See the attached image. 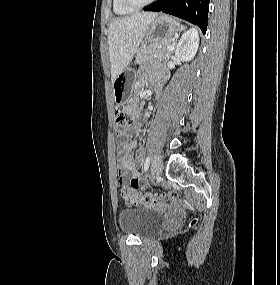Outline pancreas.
Segmentation results:
<instances>
[{
	"label": "pancreas",
	"instance_id": "pancreas-1",
	"mask_svg": "<svg viewBox=\"0 0 280 285\" xmlns=\"http://www.w3.org/2000/svg\"><path fill=\"white\" fill-rule=\"evenodd\" d=\"M171 42V39H164L148 44L139 53L136 63L141 64L152 58L169 59L171 51H169L167 47L171 45Z\"/></svg>",
	"mask_w": 280,
	"mask_h": 285
}]
</instances>
